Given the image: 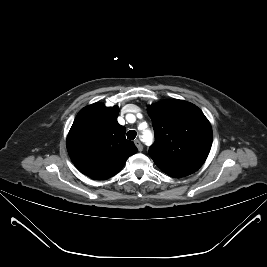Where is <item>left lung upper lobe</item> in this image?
Masks as SVG:
<instances>
[{"instance_id":"5c2ea615","label":"left lung upper lobe","mask_w":267,"mask_h":267,"mask_svg":"<svg viewBox=\"0 0 267 267\" xmlns=\"http://www.w3.org/2000/svg\"><path fill=\"white\" fill-rule=\"evenodd\" d=\"M155 132L149 155L167 175L180 178L197 171L212 145V128L195 105L164 100L148 107Z\"/></svg>"}]
</instances>
